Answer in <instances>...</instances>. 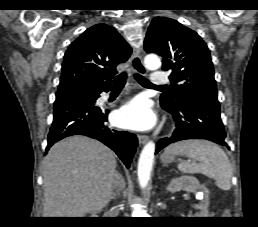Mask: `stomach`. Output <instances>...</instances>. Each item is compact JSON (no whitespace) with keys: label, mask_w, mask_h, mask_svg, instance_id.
<instances>
[{"label":"stomach","mask_w":258,"mask_h":227,"mask_svg":"<svg viewBox=\"0 0 258 227\" xmlns=\"http://www.w3.org/2000/svg\"><path fill=\"white\" fill-rule=\"evenodd\" d=\"M175 157H176L175 154H166V153H164L161 156V161L164 164H168V163H171V162L175 161Z\"/></svg>","instance_id":"1"}]
</instances>
